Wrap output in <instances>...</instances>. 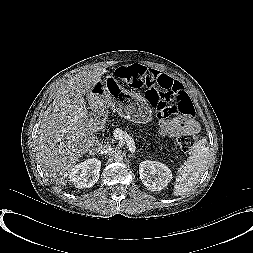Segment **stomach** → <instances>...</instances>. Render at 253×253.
I'll use <instances>...</instances> for the list:
<instances>
[{
	"instance_id": "stomach-1",
	"label": "stomach",
	"mask_w": 253,
	"mask_h": 253,
	"mask_svg": "<svg viewBox=\"0 0 253 253\" xmlns=\"http://www.w3.org/2000/svg\"><path fill=\"white\" fill-rule=\"evenodd\" d=\"M115 79L107 77L104 82H98L87 94V100L95 109L111 107L120 116L135 123H146L152 117L151 110L144 98L125 92Z\"/></svg>"
}]
</instances>
